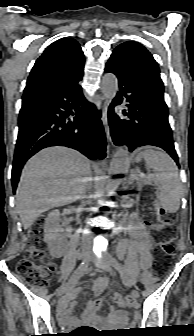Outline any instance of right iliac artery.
<instances>
[{
    "mask_svg": "<svg viewBox=\"0 0 194 336\" xmlns=\"http://www.w3.org/2000/svg\"><path fill=\"white\" fill-rule=\"evenodd\" d=\"M83 267H84V262H82V263L80 264V266L78 267V269H77V271L75 272V274H73V275L70 277V279L74 281V284H75L76 281L78 280L77 275L79 274V270H80L81 268H83Z\"/></svg>",
    "mask_w": 194,
    "mask_h": 336,
    "instance_id": "1",
    "label": "right iliac artery"
}]
</instances>
